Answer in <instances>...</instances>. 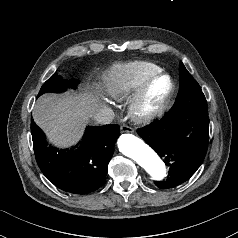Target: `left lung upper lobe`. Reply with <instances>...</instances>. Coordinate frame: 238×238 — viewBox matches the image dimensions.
Here are the masks:
<instances>
[{
	"label": "left lung upper lobe",
	"instance_id": "5c2ea615",
	"mask_svg": "<svg viewBox=\"0 0 238 238\" xmlns=\"http://www.w3.org/2000/svg\"><path fill=\"white\" fill-rule=\"evenodd\" d=\"M179 93L175 104L183 103L188 107L207 106L205 96L196 80L187 71L184 64H179Z\"/></svg>",
	"mask_w": 238,
	"mask_h": 238
}]
</instances>
